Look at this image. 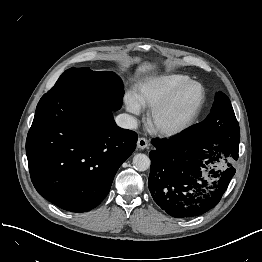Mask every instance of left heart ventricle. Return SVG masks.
<instances>
[{"mask_svg": "<svg viewBox=\"0 0 262 262\" xmlns=\"http://www.w3.org/2000/svg\"><path fill=\"white\" fill-rule=\"evenodd\" d=\"M201 94L202 91L198 85L187 86L176 100L159 115V123L165 126H173L187 120L196 109Z\"/></svg>", "mask_w": 262, "mask_h": 262, "instance_id": "left-heart-ventricle-1", "label": "left heart ventricle"}]
</instances>
